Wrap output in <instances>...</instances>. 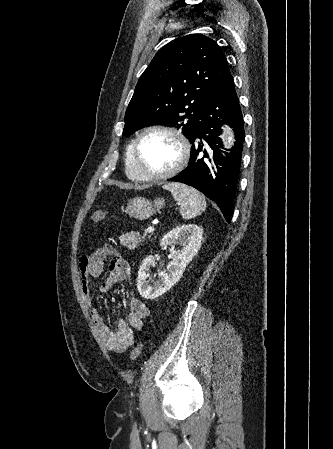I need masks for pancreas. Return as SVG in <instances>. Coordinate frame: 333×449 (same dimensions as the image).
Masks as SVG:
<instances>
[{"mask_svg": "<svg viewBox=\"0 0 333 449\" xmlns=\"http://www.w3.org/2000/svg\"><path fill=\"white\" fill-rule=\"evenodd\" d=\"M141 237L142 236L138 232L131 231L126 234H122V236L119 237V240L122 246H125L128 249L132 250L137 248L139 244L142 242Z\"/></svg>", "mask_w": 333, "mask_h": 449, "instance_id": "obj_1", "label": "pancreas"}]
</instances>
